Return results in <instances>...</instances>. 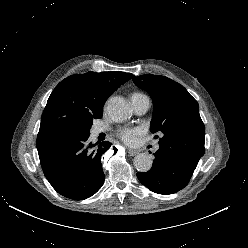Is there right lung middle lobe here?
<instances>
[{"label":"right lung middle lobe","instance_id":"obj_1","mask_svg":"<svg viewBox=\"0 0 248 248\" xmlns=\"http://www.w3.org/2000/svg\"><path fill=\"white\" fill-rule=\"evenodd\" d=\"M91 125H92V123L87 125L86 127H84L82 130H85V131L89 132V129L91 128Z\"/></svg>","mask_w":248,"mask_h":248}]
</instances>
